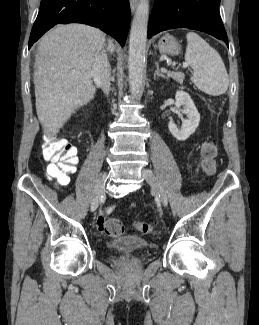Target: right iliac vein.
<instances>
[{"label": "right iliac vein", "instance_id": "63e3f726", "mask_svg": "<svg viewBox=\"0 0 259 325\" xmlns=\"http://www.w3.org/2000/svg\"><path fill=\"white\" fill-rule=\"evenodd\" d=\"M106 180H107V174L103 173L98 180V183L96 186V191H95L94 197L91 201V212H95L99 206L100 199L105 193Z\"/></svg>", "mask_w": 259, "mask_h": 325}]
</instances>
